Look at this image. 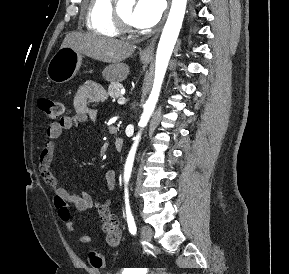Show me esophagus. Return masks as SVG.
Returning a JSON list of instances; mask_svg holds the SVG:
<instances>
[{
  "instance_id": "1",
  "label": "esophagus",
  "mask_w": 289,
  "mask_h": 274,
  "mask_svg": "<svg viewBox=\"0 0 289 274\" xmlns=\"http://www.w3.org/2000/svg\"><path fill=\"white\" fill-rule=\"evenodd\" d=\"M169 6H170V0H168V9H169ZM168 9H167V12H168ZM167 12L165 14V17L167 15ZM165 17L163 19V21L165 20ZM160 32V29L157 31V33L155 34V36L151 39V41L149 42V44L142 50L141 54L143 56H151L153 55L154 53V47H155V42H156V39L158 37V34Z\"/></svg>"
}]
</instances>
